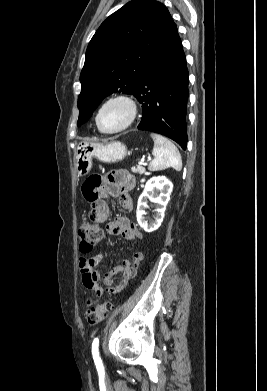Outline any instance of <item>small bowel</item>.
Instances as JSON below:
<instances>
[{"label":"small bowel","instance_id":"1","mask_svg":"<svg viewBox=\"0 0 267 391\" xmlns=\"http://www.w3.org/2000/svg\"><path fill=\"white\" fill-rule=\"evenodd\" d=\"M135 187V178L125 170H116L104 177H89L82 186L85 200L90 205L88 214L90 222L103 223L110 214L107 200L116 197L120 206L130 212L133 209V200L129 192ZM107 232L111 235H120L129 241L142 239V233L127 217L118 216L107 225ZM143 253L136 252L132 261L125 259L112 268L101 279L95 267L103 259L102 254H96L89 258L82 257L79 260L81 278L84 287L100 295L103 289L101 282L106 286V292L119 293L127 287L130 280L136 275L137 268L143 260Z\"/></svg>","mask_w":267,"mask_h":391}]
</instances>
